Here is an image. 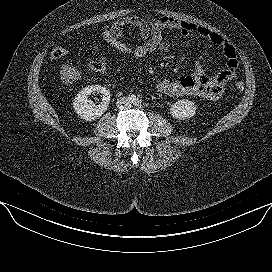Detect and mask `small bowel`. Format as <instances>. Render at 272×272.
Listing matches in <instances>:
<instances>
[{
	"mask_svg": "<svg viewBox=\"0 0 272 272\" xmlns=\"http://www.w3.org/2000/svg\"><path fill=\"white\" fill-rule=\"evenodd\" d=\"M128 29L136 31L138 41L156 46L159 53L168 49L164 36L166 30L178 31L183 37L195 34L221 48L225 66L220 72L208 75L202 62L197 60L190 75L178 79H163L157 83V90L164 95L216 100L223 95L227 83L236 75L238 59L234 47L222 35L204 26L166 16L149 22L139 16L130 15L116 20L108 30L125 35Z\"/></svg>",
	"mask_w": 272,
	"mask_h": 272,
	"instance_id": "1",
	"label": "small bowel"
}]
</instances>
